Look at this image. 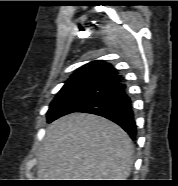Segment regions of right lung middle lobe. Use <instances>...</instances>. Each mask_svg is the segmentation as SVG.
Here are the masks:
<instances>
[{
    "label": "right lung middle lobe",
    "mask_w": 178,
    "mask_h": 186,
    "mask_svg": "<svg viewBox=\"0 0 178 186\" xmlns=\"http://www.w3.org/2000/svg\"><path fill=\"white\" fill-rule=\"evenodd\" d=\"M109 87V85L105 84H90L60 90L50 104L47 112L48 122L75 112L105 92Z\"/></svg>",
    "instance_id": "1"
}]
</instances>
